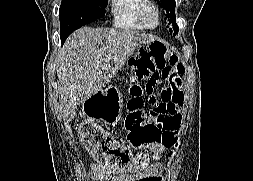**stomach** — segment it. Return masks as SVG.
Returning <instances> with one entry per match:
<instances>
[{"label": "stomach", "instance_id": "stomach-1", "mask_svg": "<svg viewBox=\"0 0 253 181\" xmlns=\"http://www.w3.org/2000/svg\"><path fill=\"white\" fill-rule=\"evenodd\" d=\"M121 108L120 96L115 87L97 92L83 102V113L88 118L104 120L108 123L118 121Z\"/></svg>", "mask_w": 253, "mask_h": 181}]
</instances>
